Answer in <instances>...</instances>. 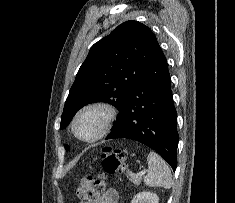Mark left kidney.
<instances>
[{"instance_id": "5707ae66", "label": "left kidney", "mask_w": 235, "mask_h": 203, "mask_svg": "<svg viewBox=\"0 0 235 203\" xmlns=\"http://www.w3.org/2000/svg\"><path fill=\"white\" fill-rule=\"evenodd\" d=\"M131 203H159V197L152 192H139L134 196Z\"/></svg>"}]
</instances>
